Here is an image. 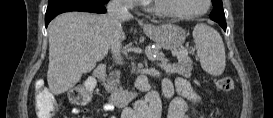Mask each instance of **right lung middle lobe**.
I'll use <instances>...</instances> for the list:
<instances>
[{
  "instance_id": "dd1d6c3e",
  "label": "right lung middle lobe",
  "mask_w": 273,
  "mask_h": 118,
  "mask_svg": "<svg viewBox=\"0 0 273 118\" xmlns=\"http://www.w3.org/2000/svg\"><path fill=\"white\" fill-rule=\"evenodd\" d=\"M94 1H98V2H101V3H103V4H106V3L109 2V0H94Z\"/></svg>"
}]
</instances>
